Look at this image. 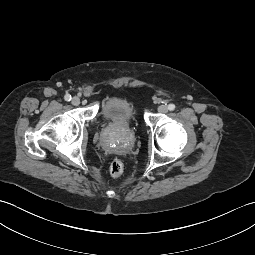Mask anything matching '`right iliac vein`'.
Instances as JSON below:
<instances>
[{"mask_svg":"<svg viewBox=\"0 0 255 255\" xmlns=\"http://www.w3.org/2000/svg\"><path fill=\"white\" fill-rule=\"evenodd\" d=\"M71 103L75 106L79 105L80 104V98L77 97V96L73 97Z\"/></svg>","mask_w":255,"mask_h":255,"instance_id":"obj_1","label":"right iliac vein"}]
</instances>
